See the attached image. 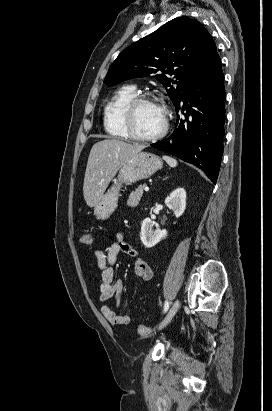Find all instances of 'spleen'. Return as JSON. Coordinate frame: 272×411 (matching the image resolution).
I'll list each match as a JSON object with an SVG mask.
<instances>
[{"mask_svg": "<svg viewBox=\"0 0 272 411\" xmlns=\"http://www.w3.org/2000/svg\"><path fill=\"white\" fill-rule=\"evenodd\" d=\"M163 159L167 162V164L170 167H176L177 166V160L175 158H172L170 156H163Z\"/></svg>", "mask_w": 272, "mask_h": 411, "instance_id": "spleen-1", "label": "spleen"}]
</instances>
